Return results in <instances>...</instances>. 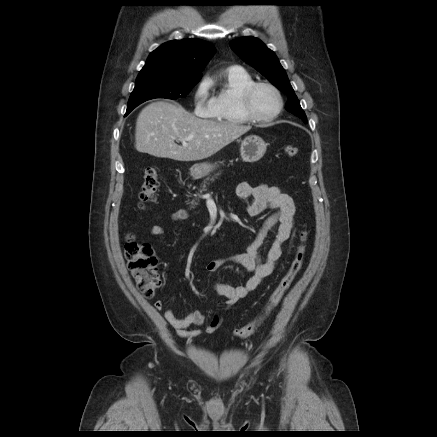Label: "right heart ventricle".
I'll list each match as a JSON object with an SVG mask.
<instances>
[{"instance_id":"obj_1","label":"right heart ventricle","mask_w":437,"mask_h":437,"mask_svg":"<svg viewBox=\"0 0 437 437\" xmlns=\"http://www.w3.org/2000/svg\"><path fill=\"white\" fill-rule=\"evenodd\" d=\"M222 85L216 95L213 117L229 124H245L250 120L241 106L244 89L254 82L252 76L243 68L230 67L222 74Z\"/></svg>"}]
</instances>
